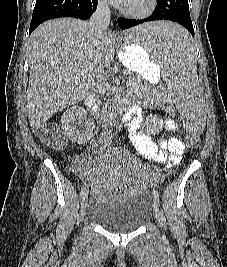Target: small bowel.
<instances>
[{
    "label": "small bowel",
    "instance_id": "small-bowel-1",
    "mask_svg": "<svg viewBox=\"0 0 227 267\" xmlns=\"http://www.w3.org/2000/svg\"><path fill=\"white\" fill-rule=\"evenodd\" d=\"M123 123L127 126L130 138L140 154L149 160L156 161L167 167H174L180 163L184 155L183 141L177 136H169L154 141L142 128L143 113L134 109L123 117ZM165 129L173 132L177 129L176 123L168 118ZM74 171L82 178L89 181L90 191L97 196H116L118 188L100 182L101 173L98 171H88L86 161L77 157L73 165Z\"/></svg>",
    "mask_w": 227,
    "mask_h": 267
}]
</instances>
